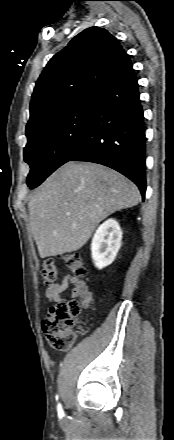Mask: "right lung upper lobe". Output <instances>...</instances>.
I'll return each mask as SVG.
<instances>
[{"mask_svg": "<svg viewBox=\"0 0 174 440\" xmlns=\"http://www.w3.org/2000/svg\"><path fill=\"white\" fill-rule=\"evenodd\" d=\"M132 68L131 60L108 31L90 27L54 55L36 82L26 127L89 94Z\"/></svg>", "mask_w": 174, "mask_h": 440, "instance_id": "right-lung-upper-lobe-1", "label": "right lung upper lobe"}]
</instances>
